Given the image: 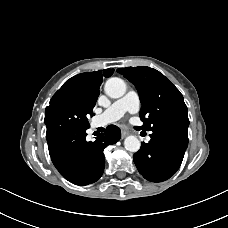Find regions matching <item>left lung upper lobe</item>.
<instances>
[{
	"label": "left lung upper lobe",
	"mask_w": 228,
	"mask_h": 228,
	"mask_svg": "<svg viewBox=\"0 0 228 228\" xmlns=\"http://www.w3.org/2000/svg\"><path fill=\"white\" fill-rule=\"evenodd\" d=\"M117 71L133 83L142 104L141 129L154 131L165 127L187 128V106L180 91L159 71L150 67H127Z\"/></svg>",
	"instance_id": "left-lung-upper-lobe-1"
}]
</instances>
